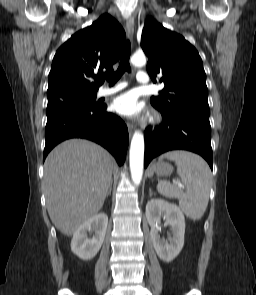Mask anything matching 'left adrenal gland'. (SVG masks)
Masks as SVG:
<instances>
[{"mask_svg": "<svg viewBox=\"0 0 256 295\" xmlns=\"http://www.w3.org/2000/svg\"><path fill=\"white\" fill-rule=\"evenodd\" d=\"M153 194H154V193L152 192V189L150 188V189H149V196L152 197Z\"/></svg>", "mask_w": 256, "mask_h": 295, "instance_id": "a2214340", "label": "left adrenal gland"}]
</instances>
